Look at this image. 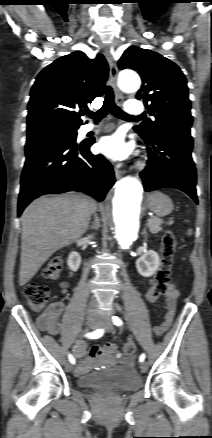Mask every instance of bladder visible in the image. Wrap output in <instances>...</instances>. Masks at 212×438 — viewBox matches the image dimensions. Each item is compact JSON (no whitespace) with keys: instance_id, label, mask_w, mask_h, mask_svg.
<instances>
[{"instance_id":"1","label":"bladder","mask_w":212,"mask_h":438,"mask_svg":"<svg viewBox=\"0 0 212 438\" xmlns=\"http://www.w3.org/2000/svg\"><path fill=\"white\" fill-rule=\"evenodd\" d=\"M84 388L112 387L118 391H132L141 386V379L130 367H114L105 371L93 372L78 378Z\"/></svg>"}]
</instances>
